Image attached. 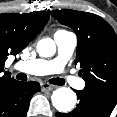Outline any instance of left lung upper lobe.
<instances>
[{"mask_svg":"<svg viewBox=\"0 0 117 117\" xmlns=\"http://www.w3.org/2000/svg\"><path fill=\"white\" fill-rule=\"evenodd\" d=\"M78 38L76 64L86 82L84 90L117 97V35L100 16L69 9L52 10Z\"/></svg>","mask_w":117,"mask_h":117,"instance_id":"obj_1","label":"left lung upper lobe"}]
</instances>
